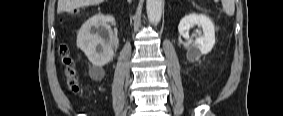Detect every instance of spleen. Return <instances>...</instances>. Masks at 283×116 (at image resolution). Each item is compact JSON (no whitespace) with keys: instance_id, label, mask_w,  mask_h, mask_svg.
Wrapping results in <instances>:
<instances>
[{"instance_id":"obj_1","label":"spleen","mask_w":283,"mask_h":116,"mask_svg":"<svg viewBox=\"0 0 283 116\" xmlns=\"http://www.w3.org/2000/svg\"><path fill=\"white\" fill-rule=\"evenodd\" d=\"M222 6H223L224 12H225L228 16L234 15V12H235V3H234V0H223V1H222Z\"/></svg>"}]
</instances>
